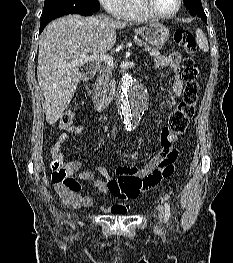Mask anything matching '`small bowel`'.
Returning <instances> with one entry per match:
<instances>
[{"instance_id":"1","label":"small bowel","mask_w":233,"mask_h":263,"mask_svg":"<svg viewBox=\"0 0 233 263\" xmlns=\"http://www.w3.org/2000/svg\"><path fill=\"white\" fill-rule=\"evenodd\" d=\"M182 56L180 53L174 52L169 55L159 56L153 65V69L161 70L162 68H170L174 71L172 90L176 96L183 93L184 83L179 76L180 64ZM87 128V125L72 126L63 132L55 145L51 149V156L54 161L58 162L66 171L68 176H72L75 171L81 167V162L74 161L66 163L64 161L63 147L69 135L80 134ZM162 151L152 157L144 168L136 165L121 166L117 168V177L113 178L109 175L107 169L103 166H96L89 171L79 174L82 181L91 183L104 195H111L119 199L120 203L106 206L104 204H95V207L102 212L113 215L125 214L128 210V202L135 200L142 192H145L154 185H148L144 182V178L157 169L168 157L169 154H178L177 150L165 140V130L161 133ZM99 173L103 178L97 179L96 174ZM57 192L65 199L71 201L77 206L90 207L94 205V201L89 195H80L77 193L79 189H65L61 183H55Z\"/></svg>"}]
</instances>
